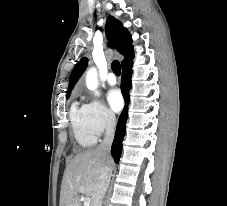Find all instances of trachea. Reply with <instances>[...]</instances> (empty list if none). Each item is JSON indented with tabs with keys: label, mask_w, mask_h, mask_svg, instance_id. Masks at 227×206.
Returning <instances> with one entry per match:
<instances>
[{
	"label": "trachea",
	"mask_w": 227,
	"mask_h": 206,
	"mask_svg": "<svg viewBox=\"0 0 227 206\" xmlns=\"http://www.w3.org/2000/svg\"><path fill=\"white\" fill-rule=\"evenodd\" d=\"M112 71L114 72L115 75L120 76L121 74V66L120 62L117 60H114L111 65Z\"/></svg>",
	"instance_id": "trachea-1"
}]
</instances>
